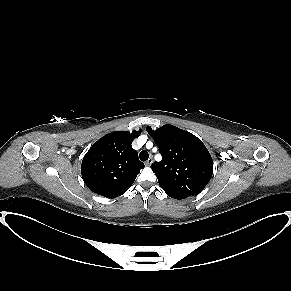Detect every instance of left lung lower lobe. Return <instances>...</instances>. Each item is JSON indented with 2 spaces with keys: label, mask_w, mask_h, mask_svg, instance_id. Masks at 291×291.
Segmentation results:
<instances>
[{
  "label": "left lung lower lobe",
  "mask_w": 291,
  "mask_h": 291,
  "mask_svg": "<svg viewBox=\"0 0 291 291\" xmlns=\"http://www.w3.org/2000/svg\"><path fill=\"white\" fill-rule=\"evenodd\" d=\"M168 196H170V197H172V198H175L174 196H172V195H168Z\"/></svg>",
  "instance_id": "1"
}]
</instances>
